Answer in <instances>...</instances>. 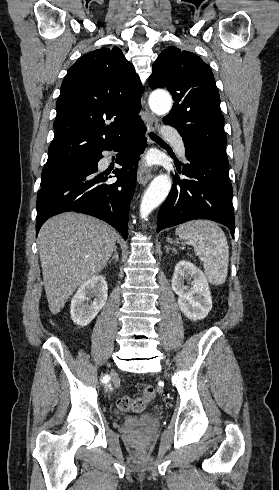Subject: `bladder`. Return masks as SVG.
I'll return each mask as SVG.
<instances>
[{
	"label": "bladder",
	"mask_w": 279,
	"mask_h": 490,
	"mask_svg": "<svg viewBox=\"0 0 279 490\" xmlns=\"http://www.w3.org/2000/svg\"><path fill=\"white\" fill-rule=\"evenodd\" d=\"M148 415H149V412H143V413L138 414L139 417H144V416H148Z\"/></svg>",
	"instance_id": "31cf9c89"
}]
</instances>
